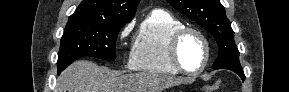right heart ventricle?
I'll return each mask as SVG.
<instances>
[{
	"label": "right heart ventricle",
	"mask_w": 289,
	"mask_h": 92,
	"mask_svg": "<svg viewBox=\"0 0 289 92\" xmlns=\"http://www.w3.org/2000/svg\"><path fill=\"white\" fill-rule=\"evenodd\" d=\"M184 27L183 23L168 12L153 11L143 23L130 58L134 70L162 75H177L169 45L173 34Z\"/></svg>",
	"instance_id": "obj_1"
}]
</instances>
